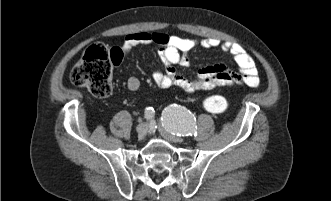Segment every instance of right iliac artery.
Masks as SVG:
<instances>
[{"instance_id": "1", "label": "right iliac artery", "mask_w": 331, "mask_h": 201, "mask_svg": "<svg viewBox=\"0 0 331 201\" xmlns=\"http://www.w3.org/2000/svg\"><path fill=\"white\" fill-rule=\"evenodd\" d=\"M155 111L152 107H148L145 109V118L146 120H150L154 117Z\"/></svg>"}]
</instances>
